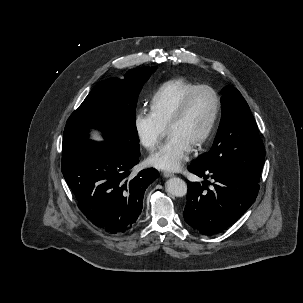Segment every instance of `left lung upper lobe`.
<instances>
[{
	"label": "left lung upper lobe",
	"instance_id": "left-lung-upper-lobe-1",
	"mask_svg": "<svg viewBox=\"0 0 303 303\" xmlns=\"http://www.w3.org/2000/svg\"><path fill=\"white\" fill-rule=\"evenodd\" d=\"M222 117L211 150L193 163L219 166L259 182L264 163V145L248 104L240 92L227 86L222 90Z\"/></svg>",
	"mask_w": 303,
	"mask_h": 303
}]
</instances>
